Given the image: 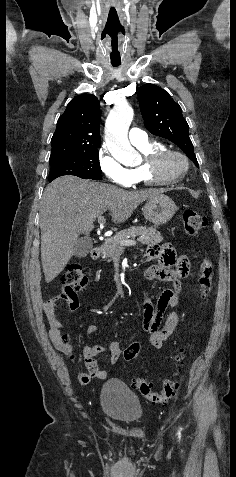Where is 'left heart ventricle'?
<instances>
[{
	"label": "left heart ventricle",
	"mask_w": 236,
	"mask_h": 477,
	"mask_svg": "<svg viewBox=\"0 0 236 477\" xmlns=\"http://www.w3.org/2000/svg\"><path fill=\"white\" fill-rule=\"evenodd\" d=\"M183 169V163L180 159L172 157L166 160L162 172L166 176L176 175Z\"/></svg>",
	"instance_id": "b2bd125f"
}]
</instances>
